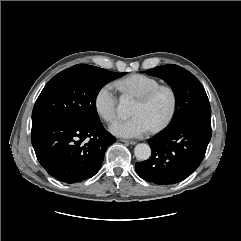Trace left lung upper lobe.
<instances>
[{"mask_svg": "<svg viewBox=\"0 0 241 241\" xmlns=\"http://www.w3.org/2000/svg\"><path fill=\"white\" fill-rule=\"evenodd\" d=\"M151 76L165 80L175 94V112L167 129L202 114H211L205 89L199 80L186 69L170 64L148 70Z\"/></svg>", "mask_w": 241, "mask_h": 241, "instance_id": "5c2ea615", "label": "left lung upper lobe"}]
</instances>
